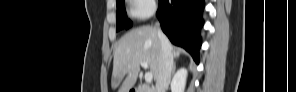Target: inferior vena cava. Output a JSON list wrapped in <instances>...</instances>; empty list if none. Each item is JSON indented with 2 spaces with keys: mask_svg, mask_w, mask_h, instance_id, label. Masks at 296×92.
Returning <instances> with one entry per match:
<instances>
[{
  "mask_svg": "<svg viewBox=\"0 0 296 92\" xmlns=\"http://www.w3.org/2000/svg\"><path fill=\"white\" fill-rule=\"evenodd\" d=\"M159 26V24H157ZM158 37L161 42V55L159 62V74L156 79L155 92H165L171 80L173 68V56L171 54L170 43L161 29L158 27Z\"/></svg>",
  "mask_w": 296,
  "mask_h": 92,
  "instance_id": "obj_1",
  "label": "inferior vena cava"
}]
</instances>
